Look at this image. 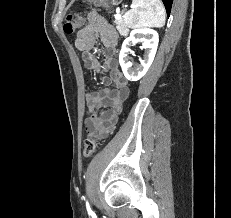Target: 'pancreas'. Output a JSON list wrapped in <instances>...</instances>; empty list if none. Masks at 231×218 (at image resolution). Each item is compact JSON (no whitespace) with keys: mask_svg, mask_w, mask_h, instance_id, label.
Returning <instances> with one entry per match:
<instances>
[{"mask_svg":"<svg viewBox=\"0 0 231 218\" xmlns=\"http://www.w3.org/2000/svg\"><path fill=\"white\" fill-rule=\"evenodd\" d=\"M114 23L121 36H126L128 34L129 29L123 19H116Z\"/></svg>","mask_w":231,"mask_h":218,"instance_id":"pancreas-1","label":"pancreas"}]
</instances>
